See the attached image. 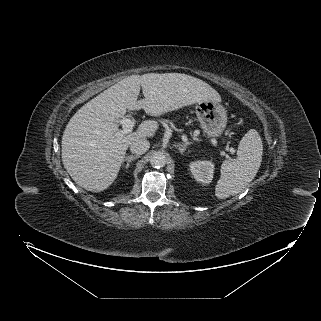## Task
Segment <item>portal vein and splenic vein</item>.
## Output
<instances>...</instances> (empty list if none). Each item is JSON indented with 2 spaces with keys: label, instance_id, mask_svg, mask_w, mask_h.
Wrapping results in <instances>:
<instances>
[{
  "label": "portal vein and splenic vein",
  "instance_id": "obj_1",
  "mask_svg": "<svg viewBox=\"0 0 321 321\" xmlns=\"http://www.w3.org/2000/svg\"><path fill=\"white\" fill-rule=\"evenodd\" d=\"M135 120H131L129 118H123L119 121V123L122 125L123 130L121 131L124 134H127L133 130V127L135 126ZM229 151L231 153L234 152L233 148H229Z\"/></svg>",
  "mask_w": 321,
  "mask_h": 321
}]
</instances>
